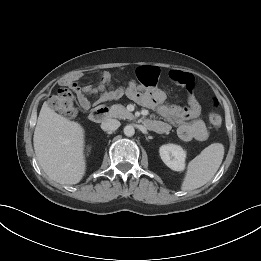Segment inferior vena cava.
I'll return each mask as SVG.
<instances>
[{"mask_svg":"<svg viewBox=\"0 0 261 261\" xmlns=\"http://www.w3.org/2000/svg\"><path fill=\"white\" fill-rule=\"evenodd\" d=\"M120 127V122L116 119H106L102 122L101 128L104 131H114Z\"/></svg>","mask_w":261,"mask_h":261,"instance_id":"602c4592","label":"inferior vena cava"}]
</instances>
